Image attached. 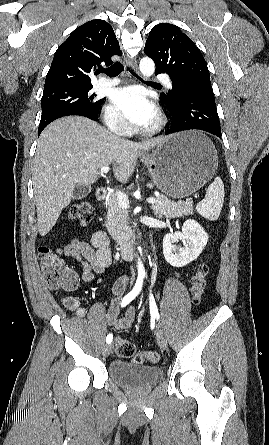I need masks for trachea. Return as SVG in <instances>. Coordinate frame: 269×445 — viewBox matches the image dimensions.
Masks as SVG:
<instances>
[{
    "mask_svg": "<svg viewBox=\"0 0 269 445\" xmlns=\"http://www.w3.org/2000/svg\"><path fill=\"white\" fill-rule=\"evenodd\" d=\"M123 70H124V66L120 62H116V63H114L113 65H111L107 69H103V68L99 69V72H101V73L104 72L109 77H115V76H118ZM129 71L132 73V75H134L137 78L141 79V77L138 76L133 70L129 69Z\"/></svg>",
    "mask_w": 269,
    "mask_h": 445,
    "instance_id": "1",
    "label": "trachea"
}]
</instances>
